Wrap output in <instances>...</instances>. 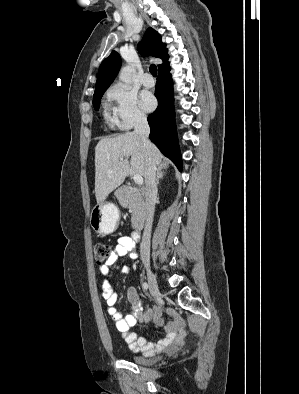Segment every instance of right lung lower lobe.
<instances>
[{
  "label": "right lung lower lobe",
  "instance_id": "98d812e1",
  "mask_svg": "<svg viewBox=\"0 0 299 394\" xmlns=\"http://www.w3.org/2000/svg\"><path fill=\"white\" fill-rule=\"evenodd\" d=\"M172 86L170 66L167 63L159 68L155 89L158 107L147 119L150 126L149 138L166 157L175 163L179 170H182V160L175 126Z\"/></svg>",
  "mask_w": 299,
  "mask_h": 394
}]
</instances>
